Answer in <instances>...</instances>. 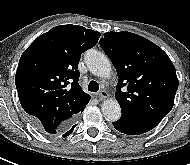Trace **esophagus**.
<instances>
[{"label":"esophagus","mask_w":190,"mask_h":165,"mask_svg":"<svg viewBox=\"0 0 190 165\" xmlns=\"http://www.w3.org/2000/svg\"><path fill=\"white\" fill-rule=\"evenodd\" d=\"M109 94L107 91L102 90L100 93H98L97 97L99 100H104L106 98H108Z\"/></svg>","instance_id":"esophagus-1"}]
</instances>
